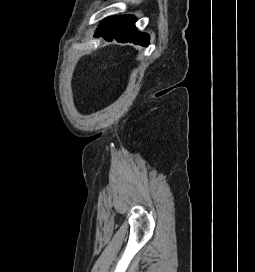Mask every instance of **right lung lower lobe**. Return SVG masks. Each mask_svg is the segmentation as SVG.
<instances>
[{"label": "right lung lower lobe", "mask_w": 255, "mask_h": 272, "mask_svg": "<svg viewBox=\"0 0 255 272\" xmlns=\"http://www.w3.org/2000/svg\"><path fill=\"white\" fill-rule=\"evenodd\" d=\"M135 22L136 18L132 15L108 17L100 23L95 37H103L107 41L115 38L122 43L132 42L143 46L148 45V35L137 31Z\"/></svg>", "instance_id": "1"}]
</instances>
